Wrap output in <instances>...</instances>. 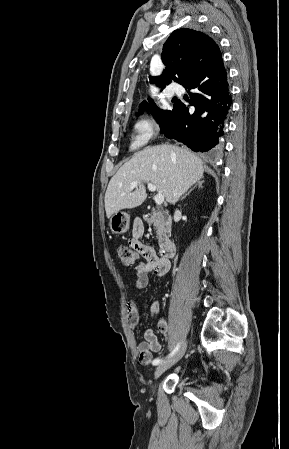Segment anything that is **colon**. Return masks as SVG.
<instances>
[{
  "mask_svg": "<svg viewBox=\"0 0 289 449\" xmlns=\"http://www.w3.org/2000/svg\"><path fill=\"white\" fill-rule=\"evenodd\" d=\"M117 255L125 266L134 265L139 257V253L131 245H119Z\"/></svg>",
  "mask_w": 289,
  "mask_h": 449,
  "instance_id": "1",
  "label": "colon"
}]
</instances>
